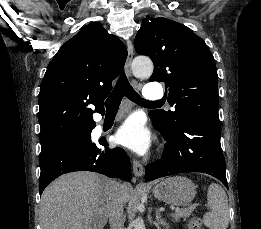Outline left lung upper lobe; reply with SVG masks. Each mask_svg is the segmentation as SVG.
<instances>
[{"mask_svg": "<svg viewBox=\"0 0 261 229\" xmlns=\"http://www.w3.org/2000/svg\"><path fill=\"white\" fill-rule=\"evenodd\" d=\"M135 50L154 63L150 81H164L174 111L150 112L165 133L177 132L190 117L219 122L218 79L214 58L203 39L166 18H146L134 40Z\"/></svg>", "mask_w": 261, "mask_h": 229, "instance_id": "5c2ea615", "label": "left lung upper lobe"}]
</instances>
